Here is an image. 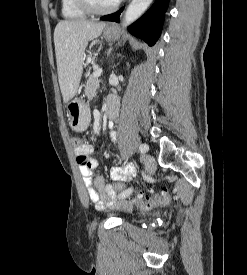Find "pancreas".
I'll list each match as a JSON object with an SVG mask.
<instances>
[{
	"instance_id": "1",
	"label": "pancreas",
	"mask_w": 247,
	"mask_h": 275,
	"mask_svg": "<svg viewBox=\"0 0 247 275\" xmlns=\"http://www.w3.org/2000/svg\"><path fill=\"white\" fill-rule=\"evenodd\" d=\"M99 82L98 76H95L92 74L85 86V95L88 99H92L94 95L96 94L97 89L99 88Z\"/></svg>"
}]
</instances>
